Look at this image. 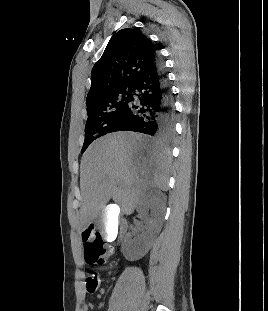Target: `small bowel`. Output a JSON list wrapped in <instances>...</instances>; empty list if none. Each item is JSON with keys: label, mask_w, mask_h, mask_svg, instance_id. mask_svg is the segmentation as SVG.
<instances>
[{"label": "small bowel", "mask_w": 268, "mask_h": 311, "mask_svg": "<svg viewBox=\"0 0 268 311\" xmlns=\"http://www.w3.org/2000/svg\"><path fill=\"white\" fill-rule=\"evenodd\" d=\"M91 309H93V305L91 303H84L83 311H90Z\"/></svg>", "instance_id": "c3829d8e"}]
</instances>
